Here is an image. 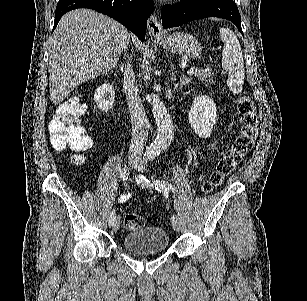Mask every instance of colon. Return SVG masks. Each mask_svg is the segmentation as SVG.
I'll return each instance as SVG.
<instances>
[{
  "label": "colon",
  "instance_id": "1",
  "mask_svg": "<svg viewBox=\"0 0 307 301\" xmlns=\"http://www.w3.org/2000/svg\"><path fill=\"white\" fill-rule=\"evenodd\" d=\"M242 119V128L232 144L226 149L215 169L202 185L206 194L220 186L243 158L251 151L257 139L258 117L254 101L249 96H242L237 103ZM86 107L77 99L62 103L50 123L51 142L57 150L84 151L91 147L92 140L81 124ZM79 157L77 161H79ZM144 226V219L137 214H126L124 227L136 231Z\"/></svg>",
  "mask_w": 307,
  "mask_h": 301
}]
</instances>
